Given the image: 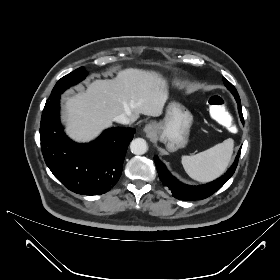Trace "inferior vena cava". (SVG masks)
<instances>
[{"label":"inferior vena cava","mask_w":280,"mask_h":280,"mask_svg":"<svg viewBox=\"0 0 280 280\" xmlns=\"http://www.w3.org/2000/svg\"><path fill=\"white\" fill-rule=\"evenodd\" d=\"M114 121L121 124H129L131 119L126 114H120L114 118Z\"/></svg>","instance_id":"1"}]
</instances>
